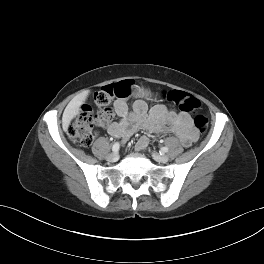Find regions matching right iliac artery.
Masks as SVG:
<instances>
[{"instance_id": "1", "label": "right iliac artery", "mask_w": 264, "mask_h": 264, "mask_svg": "<svg viewBox=\"0 0 264 264\" xmlns=\"http://www.w3.org/2000/svg\"><path fill=\"white\" fill-rule=\"evenodd\" d=\"M119 148H120V144H119V142H116L112 146V151L117 152L119 150Z\"/></svg>"}]
</instances>
